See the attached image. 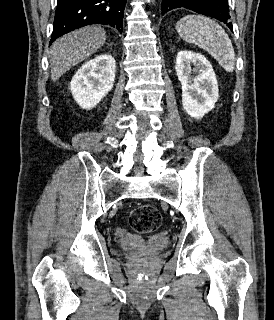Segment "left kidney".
<instances>
[{
	"label": "left kidney",
	"mask_w": 274,
	"mask_h": 320,
	"mask_svg": "<svg viewBox=\"0 0 274 320\" xmlns=\"http://www.w3.org/2000/svg\"><path fill=\"white\" fill-rule=\"evenodd\" d=\"M175 70L182 88L183 110L191 118L200 120L219 98L215 72L204 56L189 50L178 52ZM191 74H195L194 78Z\"/></svg>",
	"instance_id": "left-kidney-1"
}]
</instances>
